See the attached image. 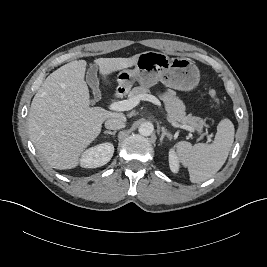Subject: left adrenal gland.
Instances as JSON below:
<instances>
[{
	"label": "left adrenal gland",
	"instance_id": "left-adrenal-gland-1",
	"mask_svg": "<svg viewBox=\"0 0 267 267\" xmlns=\"http://www.w3.org/2000/svg\"><path fill=\"white\" fill-rule=\"evenodd\" d=\"M172 135L165 129V127H161V137H160V142L162 143L163 139L167 137L170 139Z\"/></svg>",
	"mask_w": 267,
	"mask_h": 267
}]
</instances>
